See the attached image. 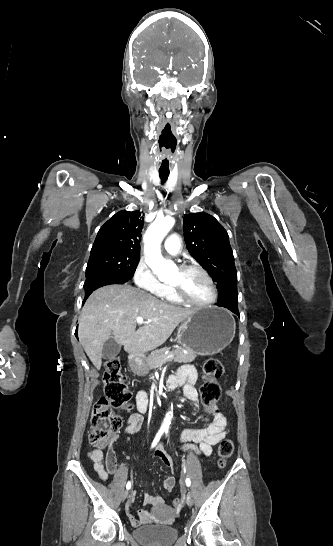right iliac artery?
<instances>
[{
    "label": "right iliac artery",
    "mask_w": 333,
    "mask_h": 546,
    "mask_svg": "<svg viewBox=\"0 0 333 546\" xmlns=\"http://www.w3.org/2000/svg\"><path fill=\"white\" fill-rule=\"evenodd\" d=\"M163 434V430H159L158 433L156 434L154 440H153V443H152V448L155 447L158 443V441L160 440L161 436ZM131 488V482L129 481L126 485V489L129 490Z\"/></svg>",
    "instance_id": "82829eb1"
}]
</instances>
